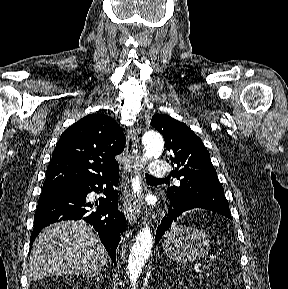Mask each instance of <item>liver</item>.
<instances>
[{
	"label": "liver",
	"mask_w": 288,
	"mask_h": 289,
	"mask_svg": "<svg viewBox=\"0 0 288 289\" xmlns=\"http://www.w3.org/2000/svg\"><path fill=\"white\" fill-rule=\"evenodd\" d=\"M107 259L91 226L83 221L56 222L36 238L27 275L33 281L51 275H89L98 272Z\"/></svg>",
	"instance_id": "liver-1"
}]
</instances>
